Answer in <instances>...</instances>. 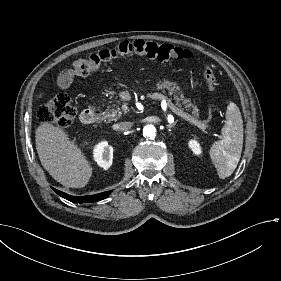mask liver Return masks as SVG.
Segmentation results:
<instances>
[{
	"mask_svg": "<svg viewBox=\"0 0 281 281\" xmlns=\"http://www.w3.org/2000/svg\"><path fill=\"white\" fill-rule=\"evenodd\" d=\"M35 146L43 168L68 188L86 187L94 172L92 163L68 131L47 121L35 129Z\"/></svg>",
	"mask_w": 281,
	"mask_h": 281,
	"instance_id": "1",
	"label": "liver"
}]
</instances>
